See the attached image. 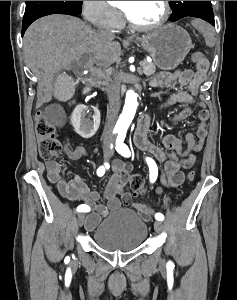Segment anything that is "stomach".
I'll list each match as a JSON object with an SVG mask.
<instances>
[{"instance_id": "obj_1", "label": "stomach", "mask_w": 237, "mask_h": 300, "mask_svg": "<svg viewBox=\"0 0 237 300\" xmlns=\"http://www.w3.org/2000/svg\"><path fill=\"white\" fill-rule=\"evenodd\" d=\"M132 39L140 43L162 71L176 69L194 47L189 33L174 23L157 27L143 35L137 33Z\"/></svg>"}]
</instances>
